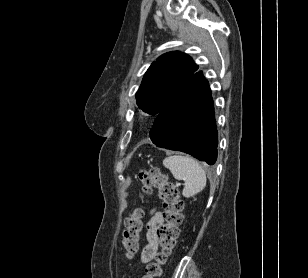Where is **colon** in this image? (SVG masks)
Returning <instances> with one entry per match:
<instances>
[{"label": "colon", "mask_w": 308, "mask_h": 278, "mask_svg": "<svg viewBox=\"0 0 308 278\" xmlns=\"http://www.w3.org/2000/svg\"><path fill=\"white\" fill-rule=\"evenodd\" d=\"M138 178L141 191L149 195L156 188L163 203L164 222L156 229L159 250L147 263L144 276V278H158L162 274V267L167 263L177 243L179 226L183 219V202L179 197L177 187L159 169L140 170ZM142 217L143 209L136 208L125 220L122 244L128 257H132L138 251L143 229Z\"/></svg>", "instance_id": "obj_1"}]
</instances>
